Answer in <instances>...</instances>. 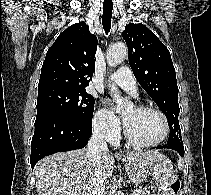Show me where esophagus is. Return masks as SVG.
<instances>
[{"instance_id":"obj_1","label":"esophagus","mask_w":211,"mask_h":195,"mask_svg":"<svg viewBox=\"0 0 211 195\" xmlns=\"http://www.w3.org/2000/svg\"><path fill=\"white\" fill-rule=\"evenodd\" d=\"M115 155L116 156H122V154L120 152H116Z\"/></svg>"}]
</instances>
